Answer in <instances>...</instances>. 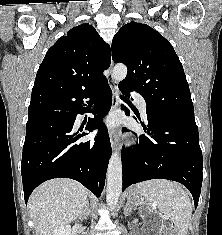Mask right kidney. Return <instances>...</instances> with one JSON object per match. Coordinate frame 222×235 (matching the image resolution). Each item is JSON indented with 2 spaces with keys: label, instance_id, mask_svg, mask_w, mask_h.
I'll use <instances>...</instances> for the list:
<instances>
[{
  "label": "right kidney",
  "instance_id": "ca27d5eb",
  "mask_svg": "<svg viewBox=\"0 0 222 235\" xmlns=\"http://www.w3.org/2000/svg\"><path fill=\"white\" fill-rule=\"evenodd\" d=\"M53 235H71V226L68 224L61 226Z\"/></svg>",
  "mask_w": 222,
  "mask_h": 235
}]
</instances>
